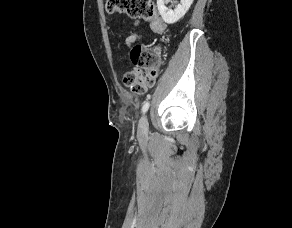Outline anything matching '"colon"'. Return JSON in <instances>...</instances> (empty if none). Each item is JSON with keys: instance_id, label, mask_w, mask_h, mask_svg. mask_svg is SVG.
<instances>
[{"instance_id": "5ec220e1", "label": "colon", "mask_w": 292, "mask_h": 228, "mask_svg": "<svg viewBox=\"0 0 292 228\" xmlns=\"http://www.w3.org/2000/svg\"><path fill=\"white\" fill-rule=\"evenodd\" d=\"M106 11L109 14H126L134 20L148 21L155 17L152 0H107ZM151 26L153 30L161 31L163 22L156 18ZM130 56L136 67L124 75L123 82L134 94L143 95L155 81L162 62L161 51L158 47L137 44Z\"/></svg>"}]
</instances>
